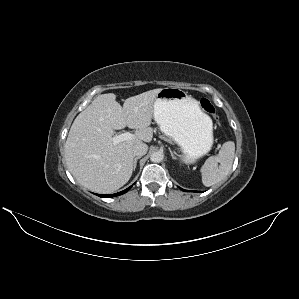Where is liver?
Listing matches in <instances>:
<instances>
[{"mask_svg": "<svg viewBox=\"0 0 299 299\" xmlns=\"http://www.w3.org/2000/svg\"><path fill=\"white\" fill-rule=\"evenodd\" d=\"M160 91L153 89L129 97L123 107L115 94H101L75 118L65 143V160L79 184L109 194L129 181L134 147L153 138L150 125ZM126 126L135 129L134 139L114 145V130Z\"/></svg>", "mask_w": 299, "mask_h": 299, "instance_id": "6515ba94", "label": "liver"}]
</instances>
